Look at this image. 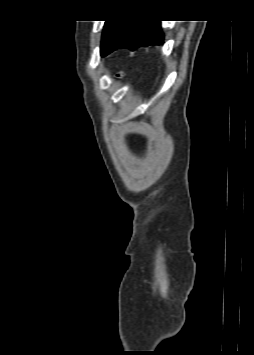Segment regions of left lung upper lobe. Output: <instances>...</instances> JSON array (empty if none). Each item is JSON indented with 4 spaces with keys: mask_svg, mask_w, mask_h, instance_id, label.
<instances>
[{
    "mask_svg": "<svg viewBox=\"0 0 254 355\" xmlns=\"http://www.w3.org/2000/svg\"><path fill=\"white\" fill-rule=\"evenodd\" d=\"M130 20L106 21L102 34L101 55L112 52L113 46L121 38L125 26Z\"/></svg>",
    "mask_w": 254,
    "mask_h": 355,
    "instance_id": "1",
    "label": "left lung upper lobe"
}]
</instances>
